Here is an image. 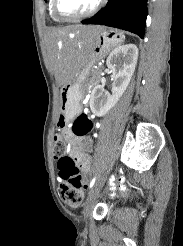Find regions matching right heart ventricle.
<instances>
[{
    "label": "right heart ventricle",
    "mask_w": 183,
    "mask_h": 246,
    "mask_svg": "<svg viewBox=\"0 0 183 246\" xmlns=\"http://www.w3.org/2000/svg\"><path fill=\"white\" fill-rule=\"evenodd\" d=\"M48 9H49V14L51 16V18L55 21H59L58 18L55 17L54 13H53V10H52V0H49V3H48Z\"/></svg>",
    "instance_id": "right-heart-ventricle-1"
}]
</instances>
